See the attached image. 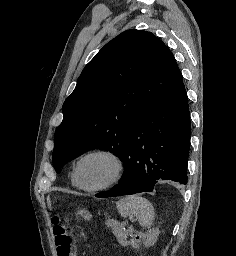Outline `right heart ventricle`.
Listing matches in <instances>:
<instances>
[{
    "label": "right heart ventricle",
    "mask_w": 236,
    "mask_h": 256,
    "mask_svg": "<svg viewBox=\"0 0 236 256\" xmlns=\"http://www.w3.org/2000/svg\"><path fill=\"white\" fill-rule=\"evenodd\" d=\"M75 167H76V162L73 163L72 167H71V171H70V182L71 185L73 187H79L78 183H77V179H76V175H75Z\"/></svg>",
    "instance_id": "e07e8e85"
}]
</instances>
